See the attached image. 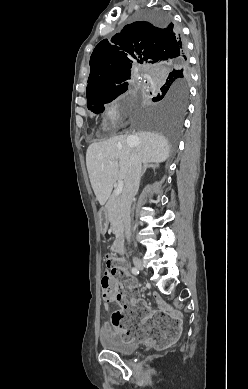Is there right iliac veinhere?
Wrapping results in <instances>:
<instances>
[{"mask_svg": "<svg viewBox=\"0 0 248 389\" xmlns=\"http://www.w3.org/2000/svg\"><path fill=\"white\" fill-rule=\"evenodd\" d=\"M133 263L137 269H139V270L144 269V264L138 257H136V256L133 257Z\"/></svg>", "mask_w": 248, "mask_h": 389, "instance_id": "63e3f726", "label": "right iliac vein"}]
</instances>
